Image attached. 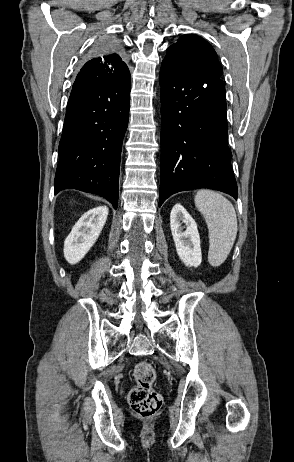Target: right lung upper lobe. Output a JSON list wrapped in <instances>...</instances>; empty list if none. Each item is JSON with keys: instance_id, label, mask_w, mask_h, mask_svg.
<instances>
[{"instance_id": "1", "label": "right lung upper lobe", "mask_w": 294, "mask_h": 462, "mask_svg": "<svg viewBox=\"0 0 294 462\" xmlns=\"http://www.w3.org/2000/svg\"><path fill=\"white\" fill-rule=\"evenodd\" d=\"M129 74L127 65L116 50H105L93 56L78 73L71 92L111 84Z\"/></svg>"}]
</instances>
